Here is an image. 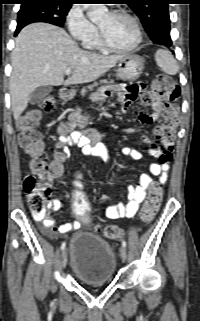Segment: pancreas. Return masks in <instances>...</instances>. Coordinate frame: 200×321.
Masks as SVG:
<instances>
[{"label": "pancreas", "instance_id": "pancreas-1", "mask_svg": "<svg viewBox=\"0 0 200 321\" xmlns=\"http://www.w3.org/2000/svg\"><path fill=\"white\" fill-rule=\"evenodd\" d=\"M111 84H113V81L111 80V81H108V80H102V81H100L99 83H94V84H92V85H89L88 86V89L89 90H93L95 87H97V86H99V85H101V89H107L108 87H109V85H111ZM86 92H87V90L86 89H83L82 91H81V94H82V96H84L85 94H86Z\"/></svg>", "mask_w": 200, "mask_h": 321}]
</instances>
